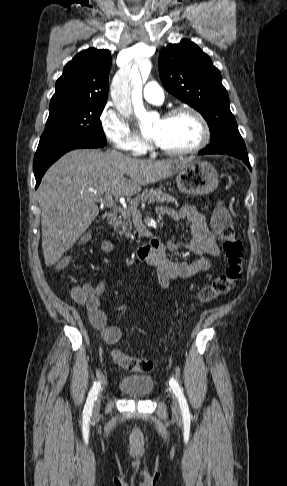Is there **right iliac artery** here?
<instances>
[{"label":"right iliac artery","instance_id":"82829eb1","mask_svg":"<svg viewBox=\"0 0 287 486\" xmlns=\"http://www.w3.org/2000/svg\"><path fill=\"white\" fill-rule=\"evenodd\" d=\"M100 387H101V383L98 381V382L94 383L92 389L90 390L86 404H85V407H84V410H83V414H84L85 417L91 416L94 401L96 400V397H97V394L100 390Z\"/></svg>","mask_w":287,"mask_h":486}]
</instances>
